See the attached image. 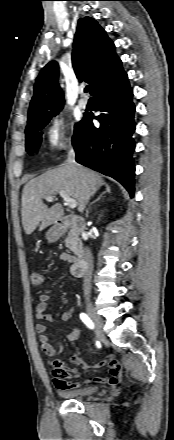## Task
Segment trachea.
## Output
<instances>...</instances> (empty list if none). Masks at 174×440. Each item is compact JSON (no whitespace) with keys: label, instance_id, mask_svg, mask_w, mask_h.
Here are the masks:
<instances>
[{"label":"trachea","instance_id":"1","mask_svg":"<svg viewBox=\"0 0 174 440\" xmlns=\"http://www.w3.org/2000/svg\"><path fill=\"white\" fill-rule=\"evenodd\" d=\"M89 89H90V87L89 86H87L85 89H84V91L85 92H88L89 91Z\"/></svg>","mask_w":174,"mask_h":440}]
</instances>
